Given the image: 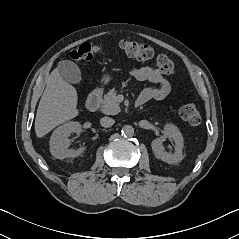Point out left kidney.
<instances>
[{
  "label": "left kidney",
  "instance_id": "left-kidney-1",
  "mask_svg": "<svg viewBox=\"0 0 239 239\" xmlns=\"http://www.w3.org/2000/svg\"><path fill=\"white\" fill-rule=\"evenodd\" d=\"M166 138L172 139L174 142V152H166L163 142ZM152 150L156 158L168 163L178 164L183 158L184 140L178 127L174 124H166L164 127V135L156 138L151 143Z\"/></svg>",
  "mask_w": 239,
  "mask_h": 239
}]
</instances>
